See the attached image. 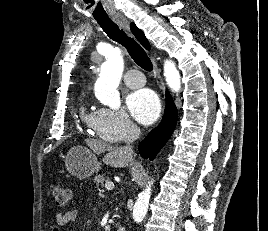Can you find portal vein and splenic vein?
Wrapping results in <instances>:
<instances>
[{"instance_id":"1","label":"portal vein and splenic vein","mask_w":268,"mask_h":231,"mask_svg":"<svg viewBox=\"0 0 268 231\" xmlns=\"http://www.w3.org/2000/svg\"><path fill=\"white\" fill-rule=\"evenodd\" d=\"M105 188H106V190H108V191L113 190V189H114V183L111 182V181H107V182L105 183Z\"/></svg>"}]
</instances>
